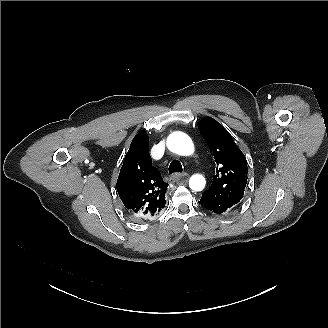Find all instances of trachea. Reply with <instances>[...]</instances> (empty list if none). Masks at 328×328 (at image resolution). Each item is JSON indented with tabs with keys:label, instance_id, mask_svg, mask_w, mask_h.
Here are the masks:
<instances>
[{
	"label": "trachea",
	"instance_id": "1",
	"mask_svg": "<svg viewBox=\"0 0 328 328\" xmlns=\"http://www.w3.org/2000/svg\"><path fill=\"white\" fill-rule=\"evenodd\" d=\"M182 171H183V167L178 160H173L170 163L169 168H168L169 174H172L174 172H182Z\"/></svg>",
	"mask_w": 328,
	"mask_h": 328
}]
</instances>
